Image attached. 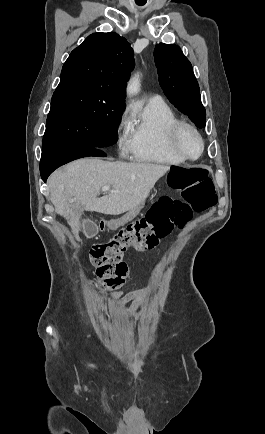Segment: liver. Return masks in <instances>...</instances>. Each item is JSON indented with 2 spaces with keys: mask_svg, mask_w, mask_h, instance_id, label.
<instances>
[{
  "mask_svg": "<svg viewBox=\"0 0 265 434\" xmlns=\"http://www.w3.org/2000/svg\"><path fill=\"white\" fill-rule=\"evenodd\" d=\"M169 170L170 166L147 162L127 164L83 158L51 174L48 180L50 200L56 214L68 220L78 240L80 218L84 210L111 216L133 210L147 198L157 180ZM103 186H112V190L107 196L97 198Z\"/></svg>",
  "mask_w": 265,
  "mask_h": 434,
  "instance_id": "liver-1",
  "label": "liver"
}]
</instances>
